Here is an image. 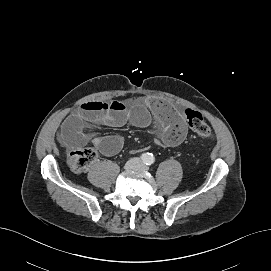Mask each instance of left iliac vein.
<instances>
[{
	"mask_svg": "<svg viewBox=\"0 0 271 271\" xmlns=\"http://www.w3.org/2000/svg\"><path fill=\"white\" fill-rule=\"evenodd\" d=\"M139 168L144 170V171L147 170L146 167H144V166H140Z\"/></svg>",
	"mask_w": 271,
	"mask_h": 271,
	"instance_id": "obj_1",
	"label": "left iliac vein"
}]
</instances>
